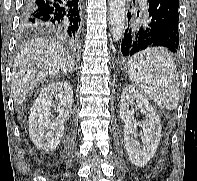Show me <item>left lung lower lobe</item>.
Returning <instances> with one entry per match:
<instances>
[{
    "label": "left lung lower lobe",
    "instance_id": "left-lung-lower-lobe-1",
    "mask_svg": "<svg viewBox=\"0 0 197 181\" xmlns=\"http://www.w3.org/2000/svg\"><path fill=\"white\" fill-rule=\"evenodd\" d=\"M147 1L148 9L143 22L128 23L124 31L119 48L122 59L150 47H165L172 52L179 49V0ZM131 17L128 12V19Z\"/></svg>",
    "mask_w": 197,
    "mask_h": 181
}]
</instances>
